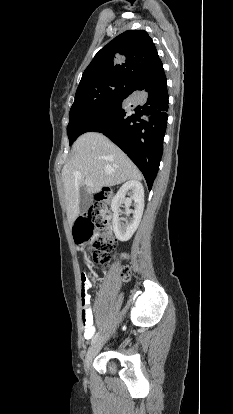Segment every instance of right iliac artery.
<instances>
[{"label":"right iliac artery","instance_id":"right-iliac-artery-1","mask_svg":"<svg viewBox=\"0 0 233 414\" xmlns=\"http://www.w3.org/2000/svg\"><path fill=\"white\" fill-rule=\"evenodd\" d=\"M98 338H99V333H96L91 340V344H94L98 340Z\"/></svg>","mask_w":233,"mask_h":414}]
</instances>
